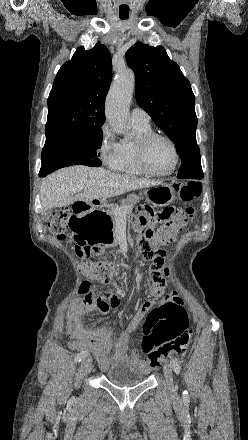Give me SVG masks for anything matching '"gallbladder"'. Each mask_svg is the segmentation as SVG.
<instances>
[{
  "label": "gallbladder",
  "instance_id": "obj_1",
  "mask_svg": "<svg viewBox=\"0 0 248 440\" xmlns=\"http://www.w3.org/2000/svg\"><path fill=\"white\" fill-rule=\"evenodd\" d=\"M51 215H52V210H51V209H48V210L45 212V214H44V216H43V219H44L45 221H47V220H49V218L51 217Z\"/></svg>",
  "mask_w": 248,
  "mask_h": 440
}]
</instances>
